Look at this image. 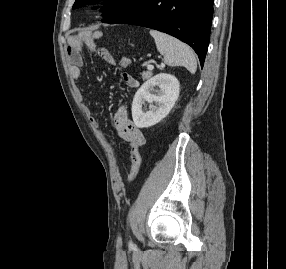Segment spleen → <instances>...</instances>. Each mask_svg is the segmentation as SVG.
Returning <instances> with one entry per match:
<instances>
[{"label": "spleen", "instance_id": "1", "mask_svg": "<svg viewBox=\"0 0 286 269\" xmlns=\"http://www.w3.org/2000/svg\"><path fill=\"white\" fill-rule=\"evenodd\" d=\"M157 50L164 56L168 66H184L191 74L197 69V61L192 49L178 39L165 33L151 30Z\"/></svg>", "mask_w": 286, "mask_h": 269}]
</instances>
